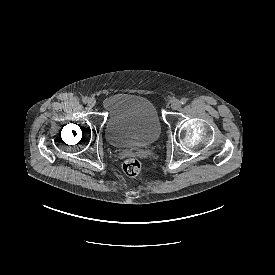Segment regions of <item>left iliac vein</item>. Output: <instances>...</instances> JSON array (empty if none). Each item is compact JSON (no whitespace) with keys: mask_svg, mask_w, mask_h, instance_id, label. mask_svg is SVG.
I'll return each instance as SVG.
<instances>
[{"mask_svg":"<svg viewBox=\"0 0 275 275\" xmlns=\"http://www.w3.org/2000/svg\"><path fill=\"white\" fill-rule=\"evenodd\" d=\"M180 107H181V104H180L179 100H174V101L171 103V108H172L173 110H178Z\"/></svg>","mask_w":275,"mask_h":275,"instance_id":"obj_1","label":"left iliac vein"}]
</instances>
